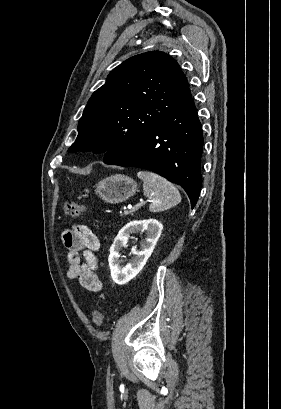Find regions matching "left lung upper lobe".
<instances>
[{
    "instance_id": "obj_1",
    "label": "left lung upper lobe",
    "mask_w": 281,
    "mask_h": 409,
    "mask_svg": "<svg viewBox=\"0 0 281 409\" xmlns=\"http://www.w3.org/2000/svg\"><path fill=\"white\" fill-rule=\"evenodd\" d=\"M190 96L187 79L172 57L160 51L133 56L93 93L68 152L107 150V164Z\"/></svg>"
}]
</instances>
